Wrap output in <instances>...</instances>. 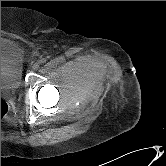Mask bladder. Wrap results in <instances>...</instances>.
Segmentation results:
<instances>
[{
    "label": "bladder",
    "instance_id": "1",
    "mask_svg": "<svg viewBox=\"0 0 166 166\" xmlns=\"http://www.w3.org/2000/svg\"><path fill=\"white\" fill-rule=\"evenodd\" d=\"M23 82V59L18 44L1 38V91H14Z\"/></svg>",
    "mask_w": 166,
    "mask_h": 166
}]
</instances>
